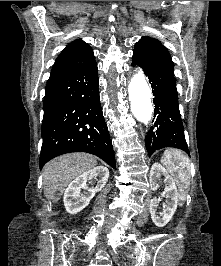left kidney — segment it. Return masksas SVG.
I'll use <instances>...</instances> for the list:
<instances>
[{"mask_svg": "<svg viewBox=\"0 0 221 266\" xmlns=\"http://www.w3.org/2000/svg\"><path fill=\"white\" fill-rule=\"evenodd\" d=\"M160 175L165 177L166 205L163 212L158 213V201L156 198L151 199L150 214L152 221L157 227H164L172 219L177 209L178 192L173 178L169 175L167 170L157 162L152 165L150 170V186L152 189L157 188V177Z\"/></svg>", "mask_w": 221, "mask_h": 266, "instance_id": "1", "label": "left kidney"}]
</instances>
